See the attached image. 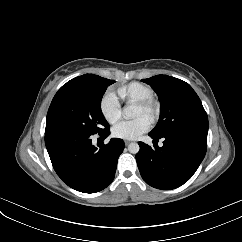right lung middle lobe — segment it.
I'll list each match as a JSON object with an SVG mask.
<instances>
[{
  "label": "right lung middle lobe",
  "mask_w": 242,
  "mask_h": 242,
  "mask_svg": "<svg viewBox=\"0 0 242 242\" xmlns=\"http://www.w3.org/2000/svg\"><path fill=\"white\" fill-rule=\"evenodd\" d=\"M115 81L99 77L91 84H64L54 96L47 113L45 134L79 129L102 134L109 124L101 112V100Z\"/></svg>",
  "instance_id": "right-lung-middle-lobe-1"
}]
</instances>
